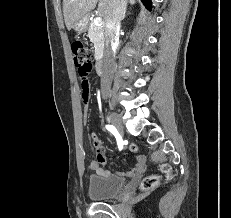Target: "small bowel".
<instances>
[{
    "mask_svg": "<svg viewBox=\"0 0 231 218\" xmlns=\"http://www.w3.org/2000/svg\"><path fill=\"white\" fill-rule=\"evenodd\" d=\"M93 64L87 63L85 66H79L77 69V74L79 75L80 83H81V92L82 98L84 101L87 100L88 93H89V74L92 73ZM93 146L96 151V159L90 162V168L101 175H109V172L103 169V166L106 164V154L105 149L102 141L99 137L93 133L92 134ZM146 168V161L144 157L137 156L135 165L127 171L120 170L117 172L119 176H126V177H135L142 174Z\"/></svg>",
    "mask_w": 231,
    "mask_h": 218,
    "instance_id": "small-bowel-1",
    "label": "small bowel"
}]
</instances>
